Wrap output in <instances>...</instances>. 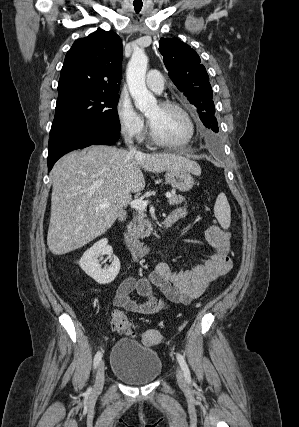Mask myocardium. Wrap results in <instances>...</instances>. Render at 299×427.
Listing matches in <instances>:
<instances>
[{
	"instance_id": "obj_1",
	"label": "myocardium",
	"mask_w": 299,
	"mask_h": 427,
	"mask_svg": "<svg viewBox=\"0 0 299 427\" xmlns=\"http://www.w3.org/2000/svg\"><path fill=\"white\" fill-rule=\"evenodd\" d=\"M158 105L160 107H163V108H171V109L178 111L184 117V119L187 122L188 134L183 140H180V141L165 140L156 134L155 130L153 129V127L149 121V133H150L151 140L155 144L162 146V147H167V148L181 147V146H184V145L188 144L189 142H191V140L193 139V137L195 135V124H194V121H193L190 113L187 111V109L185 107H183L181 104H179L178 102L171 101V100L160 101Z\"/></svg>"
}]
</instances>
